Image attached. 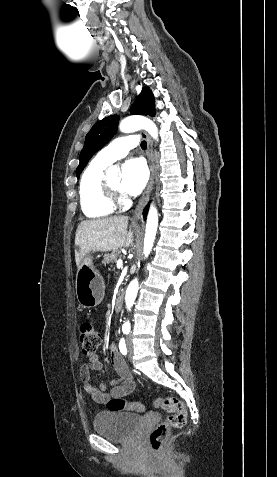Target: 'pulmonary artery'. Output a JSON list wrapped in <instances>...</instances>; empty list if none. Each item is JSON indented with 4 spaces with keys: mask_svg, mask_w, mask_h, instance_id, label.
Returning <instances> with one entry per match:
<instances>
[{
    "mask_svg": "<svg viewBox=\"0 0 277 477\" xmlns=\"http://www.w3.org/2000/svg\"><path fill=\"white\" fill-rule=\"evenodd\" d=\"M138 145V138L135 135H127L117 138L107 147L103 148L95 159L106 165H110L116 160L126 156L128 152Z\"/></svg>",
    "mask_w": 277,
    "mask_h": 477,
    "instance_id": "obj_1",
    "label": "pulmonary artery"
}]
</instances>
